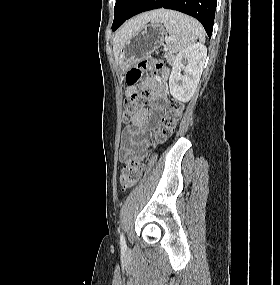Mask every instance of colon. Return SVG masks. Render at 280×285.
<instances>
[{"mask_svg":"<svg viewBox=\"0 0 280 285\" xmlns=\"http://www.w3.org/2000/svg\"><path fill=\"white\" fill-rule=\"evenodd\" d=\"M163 67V63L153 57H147L133 66L126 75V83L133 87L134 91L124 102L122 119L129 122L136 115L139 109L147 102L150 92L147 89L139 88L138 84L142 80L144 73L150 71L156 73ZM182 104L176 100H170L166 111L162 115L159 124L151 139V145L161 143L166 140L174 131L182 114ZM143 162L139 158L129 159L120 175V184L123 189L133 187L140 179L143 172Z\"/></svg>","mask_w":280,"mask_h":285,"instance_id":"5ec220e1","label":"colon"}]
</instances>
